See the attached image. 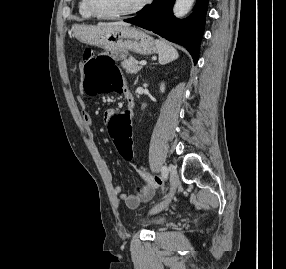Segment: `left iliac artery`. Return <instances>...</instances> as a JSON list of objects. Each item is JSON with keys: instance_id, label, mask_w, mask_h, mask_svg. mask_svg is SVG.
Returning <instances> with one entry per match:
<instances>
[{"instance_id": "left-iliac-artery-1", "label": "left iliac artery", "mask_w": 286, "mask_h": 269, "mask_svg": "<svg viewBox=\"0 0 286 269\" xmlns=\"http://www.w3.org/2000/svg\"><path fill=\"white\" fill-rule=\"evenodd\" d=\"M161 173H162V176L166 179L168 176V168L166 166H163L161 168Z\"/></svg>"}]
</instances>
